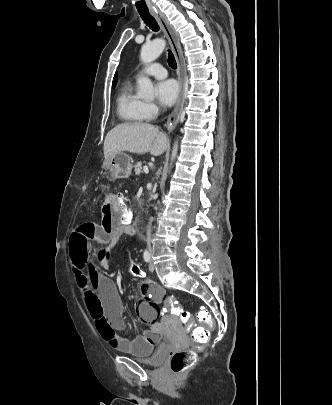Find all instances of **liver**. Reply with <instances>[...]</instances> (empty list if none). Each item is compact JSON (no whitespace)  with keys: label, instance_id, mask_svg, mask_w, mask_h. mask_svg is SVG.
<instances>
[{"label":"liver","instance_id":"liver-1","mask_svg":"<svg viewBox=\"0 0 332 405\" xmlns=\"http://www.w3.org/2000/svg\"><path fill=\"white\" fill-rule=\"evenodd\" d=\"M169 145L165 133L146 123L119 124L108 132L104 140V157L110 159L118 152L128 151L137 154L149 152L153 156L162 155Z\"/></svg>","mask_w":332,"mask_h":405}]
</instances>
